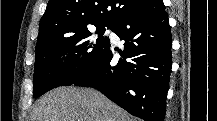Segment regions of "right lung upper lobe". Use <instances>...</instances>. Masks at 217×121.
Listing matches in <instances>:
<instances>
[{"label":"right lung upper lobe","instance_id":"right-lung-upper-lobe-1","mask_svg":"<svg viewBox=\"0 0 217 121\" xmlns=\"http://www.w3.org/2000/svg\"><path fill=\"white\" fill-rule=\"evenodd\" d=\"M145 0H49L40 20L37 45L54 42L95 24L115 25Z\"/></svg>","mask_w":217,"mask_h":121}]
</instances>
